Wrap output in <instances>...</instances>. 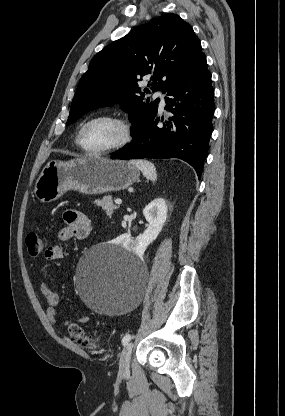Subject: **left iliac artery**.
I'll return each mask as SVG.
<instances>
[{"instance_id":"obj_1","label":"left iliac artery","mask_w":285,"mask_h":416,"mask_svg":"<svg viewBox=\"0 0 285 416\" xmlns=\"http://www.w3.org/2000/svg\"><path fill=\"white\" fill-rule=\"evenodd\" d=\"M131 339H133V336L131 334H126L122 339V344H128L131 341Z\"/></svg>"}]
</instances>
